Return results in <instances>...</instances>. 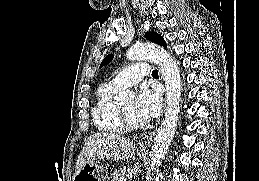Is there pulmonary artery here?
<instances>
[{
	"label": "pulmonary artery",
	"instance_id": "pulmonary-artery-1",
	"mask_svg": "<svg viewBox=\"0 0 259 181\" xmlns=\"http://www.w3.org/2000/svg\"><path fill=\"white\" fill-rule=\"evenodd\" d=\"M150 73V68L145 62H136L135 64L123 69L117 74L110 83L115 87L122 89L138 83L143 76Z\"/></svg>",
	"mask_w": 259,
	"mask_h": 181
}]
</instances>
